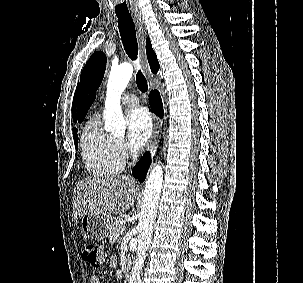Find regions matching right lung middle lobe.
Wrapping results in <instances>:
<instances>
[{"mask_svg":"<svg viewBox=\"0 0 303 283\" xmlns=\"http://www.w3.org/2000/svg\"><path fill=\"white\" fill-rule=\"evenodd\" d=\"M74 133H73V137H74V144L76 146V149L78 148V135H77V129H73Z\"/></svg>","mask_w":303,"mask_h":283,"instance_id":"obj_1","label":"right lung middle lobe"}]
</instances>
